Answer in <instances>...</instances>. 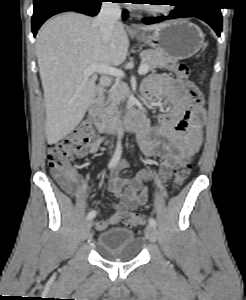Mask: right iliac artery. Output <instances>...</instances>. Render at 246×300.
Instances as JSON below:
<instances>
[{"mask_svg": "<svg viewBox=\"0 0 246 300\" xmlns=\"http://www.w3.org/2000/svg\"><path fill=\"white\" fill-rule=\"evenodd\" d=\"M121 154H122V146H121V142L118 141L115 153L108 164L109 169H112L113 167L116 166V164L118 163L121 157ZM96 214L97 212L95 210L90 211L87 215V219L92 220L93 218H95Z\"/></svg>", "mask_w": 246, "mask_h": 300, "instance_id": "1", "label": "right iliac artery"}]
</instances>
